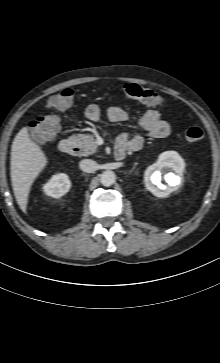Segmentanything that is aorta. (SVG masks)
<instances>
[{"label": "aorta", "mask_w": 220, "mask_h": 363, "mask_svg": "<svg viewBox=\"0 0 220 363\" xmlns=\"http://www.w3.org/2000/svg\"><path fill=\"white\" fill-rule=\"evenodd\" d=\"M116 175L113 171L107 170L100 175V182L103 186H111L115 183Z\"/></svg>", "instance_id": "aorta-1"}]
</instances>
